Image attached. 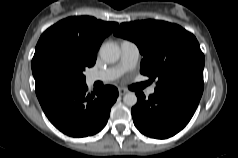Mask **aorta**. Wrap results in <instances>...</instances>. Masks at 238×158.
Here are the masks:
<instances>
[{
	"mask_svg": "<svg viewBox=\"0 0 238 158\" xmlns=\"http://www.w3.org/2000/svg\"><path fill=\"white\" fill-rule=\"evenodd\" d=\"M100 57L106 63H115L119 60L120 50L114 43H105L100 48ZM123 102L127 106H134L137 103V96L133 92L124 95Z\"/></svg>",
	"mask_w": 238,
	"mask_h": 158,
	"instance_id": "aorta-1",
	"label": "aorta"
}]
</instances>
